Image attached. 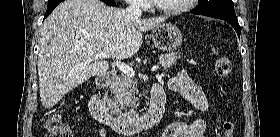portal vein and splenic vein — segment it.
Returning a JSON list of instances; mask_svg holds the SVG:
<instances>
[{"mask_svg": "<svg viewBox=\"0 0 280 137\" xmlns=\"http://www.w3.org/2000/svg\"><path fill=\"white\" fill-rule=\"evenodd\" d=\"M96 58H110V56L107 53L104 52H99L96 55ZM116 67L125 75L129 77H134L135 72L132 67L128 66L127 64L121 62V61H116L115 62ZM159 68V65H155L151 68L152 71H156Z\"/></svg>", "mask_w": 280, "mask_h": 137, "instance_id": "portal-vein-and-splenic-vein-1", "label": "portal vein and splenic vein"}]
</instances>
